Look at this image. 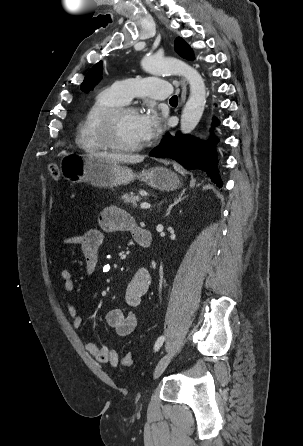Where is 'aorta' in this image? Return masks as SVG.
I'll return each instance as SVG.
<instances>
[{
	"label": "aorta",
	"mask_w": 303,
	"mask_h": 446,
	"mask_svg": "<svg viewBox=\"0 0 303 446\" xmlns=\"http://www.w3.org/2000/svg\"><path fill=\"white\" fill-rule=\"evenodd\" d=\"M142 68L150 74H178L190 85V96L181 115V131L191 133L199 123L206 104L205 83L199 72L190 65L170 58L145 57Z\"/></svg>",
	"instance_id": "762f6f07"
}]
</instances>
